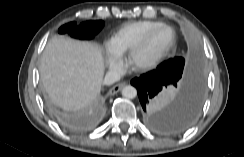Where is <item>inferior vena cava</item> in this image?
Wrapping results in <instances>:
<instances>
[{
  "label": "inferior vena cava",
  "instance_id": "602c4592",
  "mask_svg": "<svg viewBox=\"0 0 244 157\" xmlns=\"http://www.w3.org/2000/svg\"><path fill=\"white\" fill-rule=\"evenodd\" d=\"M120 80V74L116 71H109L106 73L103 84L111 85Z\"/></svg>",
  "mask_w": 244,
  "mask_h": 157
}]
</instances>
